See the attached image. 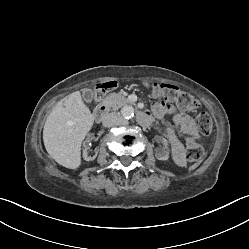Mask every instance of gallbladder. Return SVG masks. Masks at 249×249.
Masks as SVG:
<instances>
[{
  "instance_id": "obj_1",
  "label": "gallbladder",
  "mask_w": 249,
  "mask_h": 249,
  "mask_svg": "<svg viewBox=\"0 0 249 249\" xmlns=\"http://www.w3.org/2000/svg\"><path fill=\"white\" fill-rule=\"evenodd\" d=\"M82 97L87 104H91L94 98V93L91 89H83Z\"/></svg>"
}]
</instances>
